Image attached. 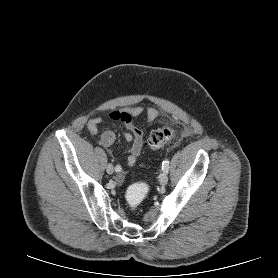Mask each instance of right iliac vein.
Here are the masks:
<instances>
[{
	"mask_svg": "<svg viewBox=\"0 0 278 278\" xmlns=\"http://www.w3.org/2000/svg\"><path fill=\"white\" fill-rule=\"evenodd\" d=\"M106 171L108 174H112L114 172V168L111 164H108L106 167Z\"/></svg>",
	"mask_w": 278,
	"mask_h": 278,
	"instance_id": "obj_1",
	"label": "right iliac vein"
}]
</instances>
